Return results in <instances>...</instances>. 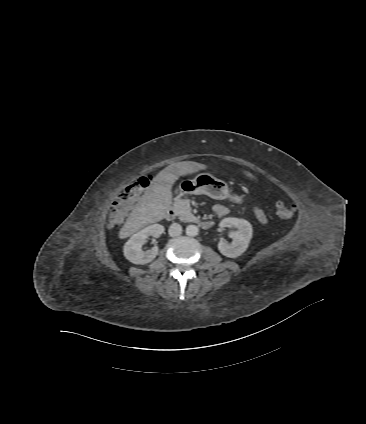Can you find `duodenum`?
<instances>
[{"label": "duodenum", "mask_w": 366, "mask_h": 424, "mask_svg": "<svg viewBox=\"0 0 366 424\" xmlns=\"http://www.w3.org/2000/svg\"><path fill=\"white\" fill-rule=\"evenodd\" d=\"M175 217V209L173 207H169L166 211V218L167 219H173ZM200 226L202 229L207 230L210 229L213 226L212 221L204 220L200 222Z\"/></svg>", "instance_id": "obj_1"}]
</instances>
